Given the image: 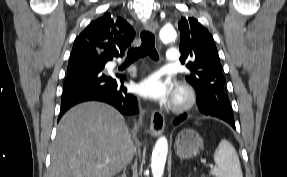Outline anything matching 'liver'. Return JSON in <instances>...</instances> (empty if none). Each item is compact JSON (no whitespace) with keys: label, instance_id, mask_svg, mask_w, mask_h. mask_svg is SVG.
Here are the masks:
<instances>
[{"label":"liver","instance_id":"liver-1","mask_svg":"<svg viewBox=\"0 0 287 177\" xmlns=\"http://www.w3.org/2000/svg\"><path fill=\"white\" fill-rule=\"evenodd\" d=\"M134 150L125 119L116 109L82 103L58 124L47 177H112L131 162Z\"/></svg>","mask_w":287,"mask_h":177}]
</instances>
